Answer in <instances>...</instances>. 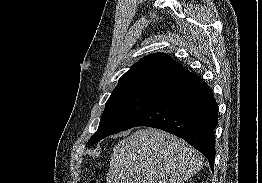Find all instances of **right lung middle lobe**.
<instances>
[{
  "label": "right lung middle lobe",
  "instance_id": "right-lung-middle-lobe-1",
  "mask_svg": "<svg viewBox=\"0 0 262 183\" xmlns=\"http://www.w3.org/2000/svg\"><path fill=\"white\" fill-rule=\"evenodd\" d=\"M158 91L136 90L112 93L105 105L97 132L90 138L92 146L101 139L123 131L126 125L137 116L154 98Z\"/></svg>",
  "mask_w": 262,
  "mask_h": 183
}]
</instances>
